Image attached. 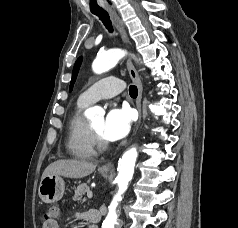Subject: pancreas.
<instances>
[{
    "instance_id": "obj_1",
    "label": "pancreas",
    "mask_w": 238,
    "mask_h": 228,
    "mask_svg": "<svg viewBox=\"0 0 238 228\" xmlns=\"http://www.w3.org/2000/svg\"><path fill=\"white\" fill-rule=\"evenodd\" d=\"M90 191V188L88 187L87 184H80L76 189H75V194L73 196L74 201H82L83 196Z\"/></svg>"
}]
</instances>
